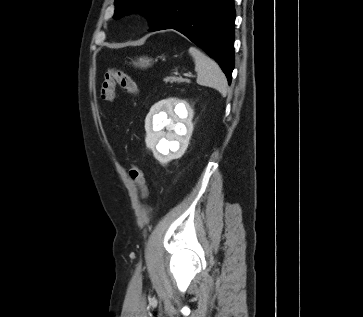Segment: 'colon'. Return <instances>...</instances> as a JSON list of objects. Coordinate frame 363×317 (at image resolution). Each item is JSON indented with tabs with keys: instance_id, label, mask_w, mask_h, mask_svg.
Masks as SVG:
<instances>
[{
	"instance_id": "5ec220e1",
	"label": "colon",
	"mask_w": 363,
	"mask_h": 317,
	"mask_svg": "<svg viewBox=\"0 0 363 317\" xmlns=\"http://www.w3.org/2000/svg\"><path fill=\"white\" fill-rule=\"evenodd\" d=\"M116 85H119L126 93H137V85L129 74L121 70L111 68L106 72L101 84V98L105 101H112L114 99ZM129 176L131 180L139 187L141 197L146 199L148 196V191L145 184L144 172L141 167L138 165H132L129 170ZM150 213L151 208L148 204L145 203L143 205V220L148 219Z\"/></svg>"
}]
</instances>
